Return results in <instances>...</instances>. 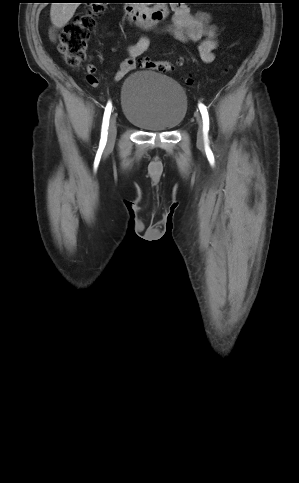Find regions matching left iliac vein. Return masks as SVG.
Here are the masks:
<instances>
[{"mask_svg":"<svg viewBox=\"0 0 299 483\" xmlns=\"http://www.w3.org/2000/svg\"><path fill=\"white\" fill-rule=\"evenodd\" d=\"M195 116L198 123L197 142L198 144H203L204 142L203 121L199 113H196Z\"/></svg>","mask_w":299,"mask_h":483,"instance_id":"left-iliac-vein-1","label":"left iliac vein"}]
</instances>
